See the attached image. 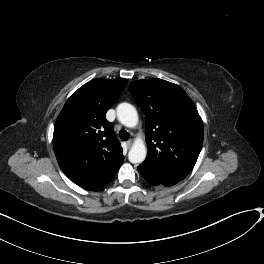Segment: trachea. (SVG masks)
I'll list each match as a JSON object with an SVG mask.
<instances>
[{"mask_svg": "<svg viewBox=\"0 0 264 264\" xmlns=\"http://www.w3.org/2000/svg\"><path fill=\"white\" fill-rule=\"evenodd\" d=\"M119 137L122 141H127L130 137V134L126 130H120Z\"/></svg>", "mask_w": 264, "mask_h": 264, "instance_id": "3493384b", "label": "trachea"}]
</instances>
